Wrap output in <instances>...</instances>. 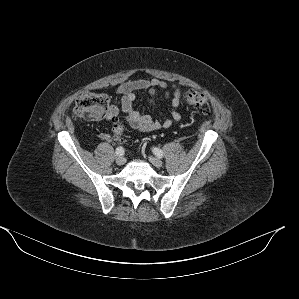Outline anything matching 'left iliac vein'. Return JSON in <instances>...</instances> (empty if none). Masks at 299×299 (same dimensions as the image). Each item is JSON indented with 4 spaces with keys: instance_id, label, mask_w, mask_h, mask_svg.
<instances>
[{
    "instance_id": "1",
    "label": "left iliac vein",
    "mask_w": 299,
    "mask_h": 299,
    "mask_svg": "<svg viewBox=\"0 0 299 299\" xmlns=\"http://www.w3.org/2000/svg\"><path fill=\"white\" fill-rule=\"evenodd\" d=\"M149 161L155 166V167H162L163 162L155 157H149Z\"/></svg>"
}]
</instances>
